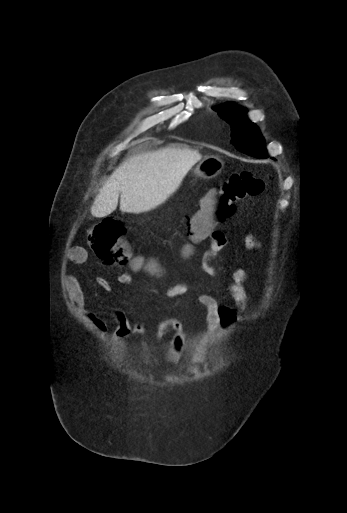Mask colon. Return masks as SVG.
Returning <instances> with one entry per match:
<instances>
[{
	"label": "colon",
	"mask_w": 347,
	"mask_h": 513,
	"mask_svg": "<svg viewBox=\"0 0 347 513\" xmlns=\"http://www.w3.org/2000/svg\"><path fill=\"white\" fill-rule=\"evenodd\" d=\"M264 187V180L255 177L250 171L232 174L202 196L199 210L187 221V236L192 241L204 239L233 216L239 201L258 196ZM88 240L93 251L105 264L123 265L128 262L131 249L127 241V230L120 220L103 219L89 230ZM151 270L160 272L157 265H153Z\"/></svg>",
	"instance_id": "5ec220e1"
}]
</instances>
